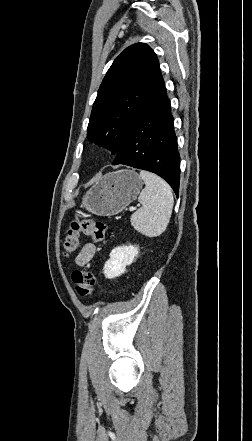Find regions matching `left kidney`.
Returning a JSON list of instances; mask_svg holds the SVG:
<instances>
[{"label": "left kidney", "mask_w": 252, "mask_h": 441, "mask_svg": "<svg viewBox=\"0 0 252 441\" xmlns=\"http://www.w3.org/2000/svg\"><path fill=\"white\" fill-rule=\"evenodd\" d=\"M138 252V247L133 245H123L114 248L103 268L105 277L113 279L121 276L125 272L126 266L133 262Z\"/></svg>", "instance_id": "1"}]
</instances>
